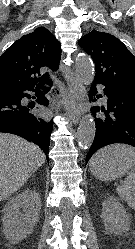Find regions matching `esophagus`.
<instances>
[{
	"mask_svg": "<svg viewBox=\"0 0 135 249\" xmlns=\"http://www.w3.org/2000/svg\"><path fill=\"white\" fill-rule=\"evenodd\" d=\"M71 103L64 101L65 114L70 118L73 124H77L83 114L81 107L75 108L74 103H80L84 100L85 88L80 82L79 78L71 73V76L66 80Z\"/></svg>",
	"mask_w": 135,
	"mask_h": 249,
	"instance_id": "34e87169",
	"label": "esophagus"
}]
</instances>
